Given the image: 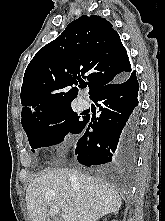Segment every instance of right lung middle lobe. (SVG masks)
I'll use <instances>...</instances> for the list:
<instances>
[{
	"label": "right lung middle lobe",
	"instance_id": "obj_1",
	"mask_svg": "<svg viewBox=\"0 0 165 221\" xmlns=\"http://www.w3.org/2000/svg\"><path fill=\"white\" fill-rule=\"evenodd\" d=\"M85 120V116L77 115L68 106L43 113L30 122L22 123V126L31 147L36 149L60 143L69 132L77 133Z\"/></svg>",
	"mask_w": 165,
	"mask_h": 221
}]
</instances>
